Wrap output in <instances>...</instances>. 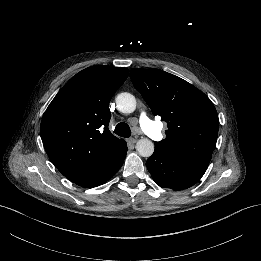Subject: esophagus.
Instances as JSON below:
<instances>
[{
    "instance_id": "34e87169",
    "label": "esophagus",
    "mask_w": 261,
    "mask_h": 261,
    "mask_svg": "<svg viewBox=\"0 0 261 261\" xmlns=\"http://www.w3.org/2000/svg\"><path fill=\"white\" fill-rule=\"evenodd\" d=\"M128 142H130L132 144H135L137 142V139L131 138V139L128 140Z\"/></svg>"
}]
</instances>
